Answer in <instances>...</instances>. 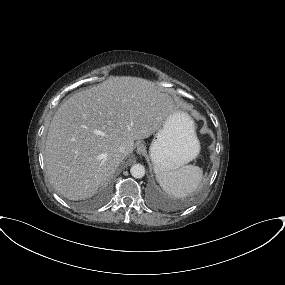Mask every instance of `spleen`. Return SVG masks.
<instances>
[{
  "label": "spleen",
  "mask_w": 285,
  "mask_h": 285,
  "mask_svg": "<svg viewBox=\"0 0 285 285\" xmlns=\"http://www.w3.org/2000/svg\"><path fill=\"white\" fill-rule=\"evenodd\" d=\"M202 178V168L194 165H186L175 171H156V179L162 189L176 198H184L194 193Z\"/></svg>",
  "instance_id": "1"
}]
</instances>
